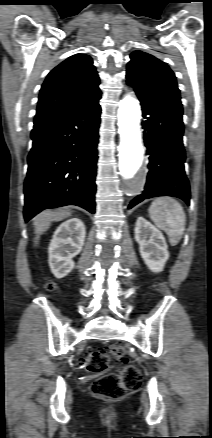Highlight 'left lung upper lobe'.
I'll use <instances>...</instances> for the list:
<instances>
[{
  "label": "left lung upper lobe",
  "instance_id": "obj_1",
  "mask_svg": "<svg viewBox=\"0 0 212 438\" xmlns=\"http://www.w3.org/2000/svg\"><path fill=\"white\" fill-rule=\"evenodd\" d=\"M130 58L127 84L136 92L182 106L176 77L164 62L142 51H134Z\"/></svg>",
  "mask_w": 212,
  "mask_h": 438
}]
</instances>
